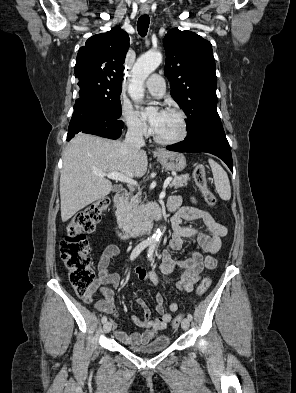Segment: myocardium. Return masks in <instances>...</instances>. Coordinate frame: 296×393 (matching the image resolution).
<instances>
[{"mask_svg":"<svg viewBox=\"0 0 296 393\" xmlns=\"http://www.w3.org/2000/svg\"><path fill=\"white\" fill-rule=\"evenodd\" d=\"M167 112L176 114V115L180 118V122H181V132H180V134H179L177 137H175V138H172V139H163V138L159 137V136L156 134L155 130H153V137H154V140H155L157 143L162 144V145H173V144L180 143V142H182L183 140H185V138H186L187 135H188L189 126H188L187 116H186V114H185L182 110L177 109V108H171V109L167 110Z\"/></svg>","mask_w":296,"mask_h":393,"instance_id":"1","label":"myocardium"}]
</instances>
